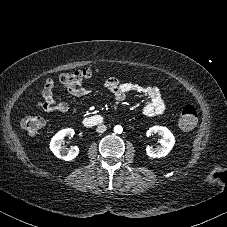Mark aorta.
I'll return each instance as SVG.
<instances>
[{"label":"aorta","instance_id":"obj_1","mask_svg":"<svg viewBox=\"0 0 227 227\" xmlns=\"http://www.w3.org/2000/svg\"><path fill=\"white\" fill-rule=\"evenodd\" d=\"M114 132H115L116 134H121V133L123 132L122 126H120V125L115 126V127H114Z\"/></svg>","mask_w":227,"mask_h":227}]
</instances>
